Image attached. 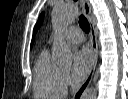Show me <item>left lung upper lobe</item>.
I'll return each mask as SVG.
<instances>
[{"label":"left lung upper lobe","instance_id":"left-lung-upper-lobe-1","mask_svg":"<svg viewBox=\"0 0 128 99\" xmlns=\"http://www.w3.org/2000/svg\"><path fill=\"white\" fill-rule=\"evenodd\" d=\"M43 13L40 15V17H39V19H38V21H37V23H36V25H35V28H34V31H36L39 27H40V25H41V23H42V21H43Z\"/></svg>","mask_w":128,"mask_h":99}]
</instances>
